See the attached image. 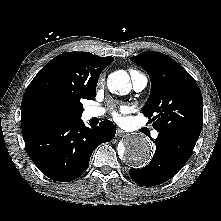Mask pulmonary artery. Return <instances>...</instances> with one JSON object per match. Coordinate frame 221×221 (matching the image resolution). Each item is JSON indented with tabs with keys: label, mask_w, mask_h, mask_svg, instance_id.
<instances>
[{
	"label": "pulmonary artery",
	"mask_w": 221,
	"mask_h": 221,
	"mask_svg": "<svg viewBox=\"0 0 221 221\" xmlns=\"http://www.w3.org/2000/svg\"><path fill=\"white\" fill-rule=\"evenodd\" d=\"M132 78V84L135 91H142L146 88L148 84V79L144 74L141 73H135L131 75ZM104 114V109L100 107H90L85 110V116L87 118H95L100 117ZM152 136L154 138L158 137V132L153 131Z\"/></svg>",
	"instance_id": "e3ab8cb5"
}]
</instances>
